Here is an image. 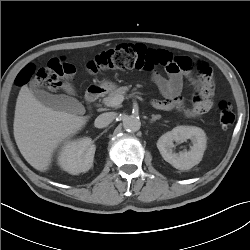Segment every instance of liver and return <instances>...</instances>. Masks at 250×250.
<instances>
[{
    "mask_svg": "<svg viewBox=\"0 0 250 250\" xmlns=\"http://www.w3.org/2000/svg\"><path fill=\"white\" fill-rule=\"evenodd\" d=\"M64 89L73 94L69 85ZM87 116L56 111L43 105L24 86L15 107L14 138L25 160L39 171L48 170L56 148L78 133L87 123Z\"/></svg>",
    "mask_w": 250,
    "mask_h": 250,
    "instance_id": "1",
    "label": "liver"
}]
</instances>
